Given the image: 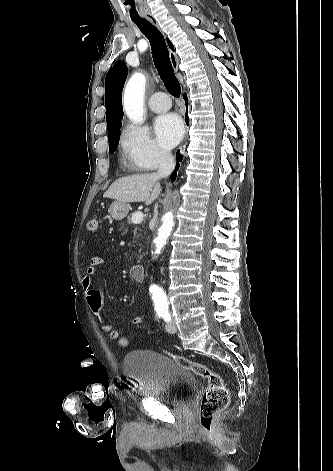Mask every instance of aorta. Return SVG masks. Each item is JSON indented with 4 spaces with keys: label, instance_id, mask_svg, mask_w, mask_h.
<instances>
[{
    "label": "aorta",
    "instance_id": "obj_1",
    "mask_svg": "<svg viewBox=\"0 0 333 471\" xmlns=\"http://www.w3.org/2000/svg\"><path fill=\"white\" fill-rule=\"evenodd\" d=\"M146 77L142 72H135L128 81L123 95V107L128 118L136 124L143 122V106L145 94ZM174 226V215L172 211L165 213L162 217V225L158 228L153 240L155 249L153 254H159L167 243L168 237ZM152 299L155 306L160 309L168 307L166 293L157 285L150 287Z\"/></svg>",
    "mask_w": 333,
    "mask_h": 471
}]
</instances>
